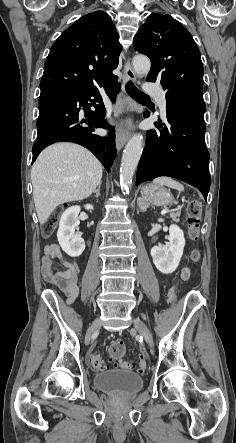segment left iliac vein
<instances>
[{
    "instance_id": "obj_1",
    "label": "left iliac vein",
    "mask_w": 236,
    "mask_h": 443,
    "mask_svg": "<svg viewBox=\"0 0 236 443\" xmlns=\"http://www.w3.org/2000/svg\"><path fill=\"white\" fill-rule=\"evenodd\" d=\"M135 329L144 337L150 347L153 346V337L147 326L138 318L133 320Z\"/></svg>"
}]
</instances>
